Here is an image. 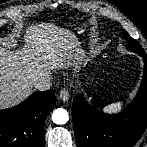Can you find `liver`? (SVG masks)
<instances>
[{
  "mask_svg": "<svg viewBox=\"0 0 147 147\" xmlns=\"http://www.w3.org/2000/svg\"><path fill=\"white\" fill-rule=\"evenodd\" d=\"M25 32L21 51L13 53L0 46V108L22 101L34 82L50 76L51 70L82 60L84 51L70 30L41 23Z\"/></svg>",
  "mask_w": 147,
  "mask_h": 147,
  "instance_id": "6515ba94",
  "label": "liver"
}]
</instances>
